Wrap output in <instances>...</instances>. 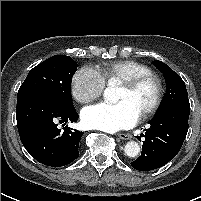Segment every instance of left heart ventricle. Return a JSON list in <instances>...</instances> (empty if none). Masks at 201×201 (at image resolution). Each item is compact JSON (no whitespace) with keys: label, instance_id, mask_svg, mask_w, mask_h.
Instances as JSON below:
<instances>
[{"label":"left heart ventricle","instance_id":"b2bd125f","mask_svg":"<svg viewBox=\"0 0 201 201\" xmlns=\"http://www.w3.org/2000/svg\"><path fill=\"white\" fill-rule=\"evenodd\" d=\"M156 95V88L152 81H146L136 89H128L120 86L116 101L128 102L140 115L153 102Z\"/></svg>","mask_w":201,"mask_h":201}]
</instances>
